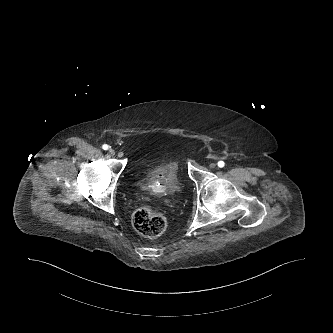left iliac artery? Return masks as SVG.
<instances>
[{
    "mask_svg": "<svg viewBox=\"0 0 333 333\" xmlns=\"http://www.w3.org/2000/svg\"><path fill=\"white\" fill-rule=\"evenodd\" d=\"M225 163L223 161H219L218 162V167L222 168L224 167Z\"/></svg>",
    "mask_w": 333,
    "mask_h": 333,
    "instance_id": "1",
    "label": "left iliac artery"
}]
</instances>
